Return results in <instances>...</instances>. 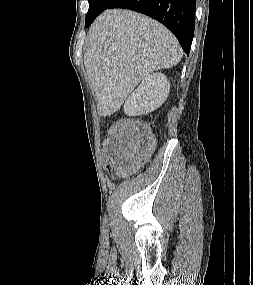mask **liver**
Masks as SVG:
<instances>
[{"label": "liver", "mask_w": 253, "mask_h": 285, "mask_svg": "<svg viewBox=\"0 0 253 285\" xmlns=\"http://www.w3.org/2000/svg\"><path fill=\"white\" fill-rule=\"evenodd\" d=\"M183 52L162 24L130 10L110 9L88 32L84 65L100 116L118 111L150 73L175 66Z\"/></svg>", "instance_id": "liver-1"}]
</instances>
